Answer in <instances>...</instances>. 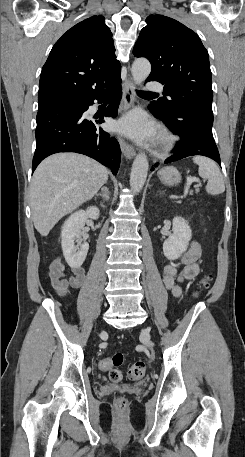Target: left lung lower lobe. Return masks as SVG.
<instances>
[{
	"instance_id": "left-lung-lower-lobe-1",
	"label": "left lung lower lobe",
	"mask_w": 245,
	"mask_h": 457,
	"mask_svg": "<svg viewBox=\"0 0 245 457\" xmlns=\"http://www.w3.org/2000/svg\"><path fill=\"white\" fill-rule=\"evenodd\" d=\"M148 108L156 118L166 123L170 131L181 137V140L176 143L175 154L166 159L165 164L195 155L209 157L221 164L212 134L213 112L189 110L165 115L157 109L154 102H151ZM157 166L156 163L154 167ZM154 167L151 170H154Z\"/></svg>"
}]
</instances>
